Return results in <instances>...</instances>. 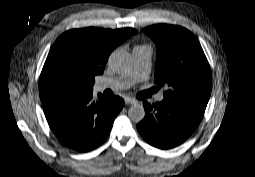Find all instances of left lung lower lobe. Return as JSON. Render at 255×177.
Instances as JSON below:
<instances>
[{"mask_svg": "<svg viewBox=\"0 0 255 177\" xmlns=\"http://www.w3.org/2000/svg\"><path fill=\"white\" fill-rule=\"evenodd\" d=\"M145 118L137 125L140 135L151 145L169 149L185 141L198 126L207 102L169 100L153 105L143 101Z\"/></svg>", "mask_w": 255, "mask_h": 177, "instance_id": "1", "label": "left lung lower lobe"}]
</instances>
